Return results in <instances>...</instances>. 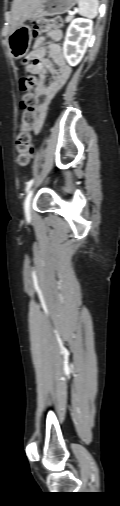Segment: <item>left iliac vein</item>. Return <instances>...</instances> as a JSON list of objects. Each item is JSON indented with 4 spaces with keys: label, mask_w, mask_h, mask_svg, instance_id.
Returning a JSON list of instances; mask_svg holds the SVG:
<instances>
[{
    "label": "left iliac vein",
    "mask_w": 120,
    "mask_h": 506,
    "mask_svg": "<svg viewBox=\"0 0 120 506\" xmlns=\"http://www.w3.org/2000/svg\"><path fill=\"white\" fill-rule=\"evenodd\" d=\"M32 194H33V190H30L29 193L27 194V197L25 199V202H24V211H25V214L27 217L30 216V213H31V198H32Z\"/></svg>",
    "instance_id": "obj_1"
}]
</instances>
